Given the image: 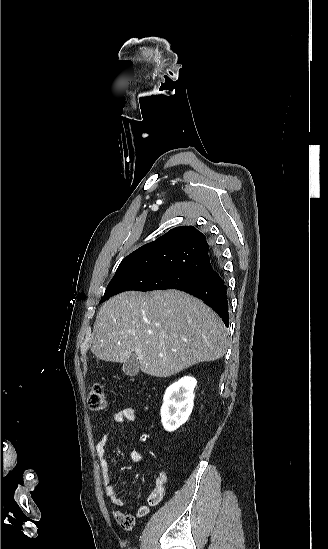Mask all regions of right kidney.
Returning <instances> with one entry per match:
<instances>
[{"instance_id":"obj_1","label":"right kidney","mask_w":328,"mask_h":549,"mask_svg":"<svg viewBox=\"0 0 328 549\" xmlns=\"http://www.w3.org/2000/svg\"><path fill=\"white\" fill-rule=\"evenodd\" d=\"M196 385L194 377H182L166 389L160 413L165 431L171 433L186 423L192 413Z\"/></svg>"}]
</instances>
